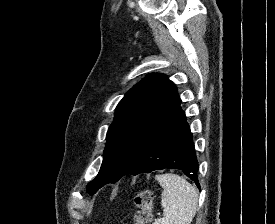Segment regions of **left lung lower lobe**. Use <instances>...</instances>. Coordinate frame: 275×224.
Segmentation results:
<instances>
[{
  "instance_id": "1",
  "label": "left lung lower lobe",
  "mask_w": 275,
  "mask_h": 224,
  "mask_svg": "<svg viewBox=\"0 0 275 224\" xmlns=\"http://www.w3.org/2000/svg\"><path fill=\"white\" fill-rule=\"evenodd\" d=\"M180 104L181 102L148 137L124 175L150 173L165 168L179 169L200 188L198 181L199 165L192 133ZM112 182V178L104 179L96 191L105 184Z\"/></svg>"
}]
</instances>
